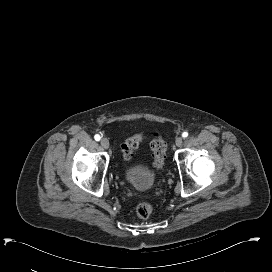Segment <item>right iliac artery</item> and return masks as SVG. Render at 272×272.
<instances>
[{
	"instance_id": "obj_1",
	"label": "right iliac artery",
	"mask_w": 272,
	"mask_h": 272,
	"mask_svg": "<svg viewBox=\"0 0 272 272\" xmlns=\"http://www.w3.org/2000/svg\"><path fill=\"white\" fill-rule=\"evenodd\" d=\"M94 138H95L96 141H99L101 137H100V135L96 134V135L94 136Z\"/></svg>"
}]
</instances>
